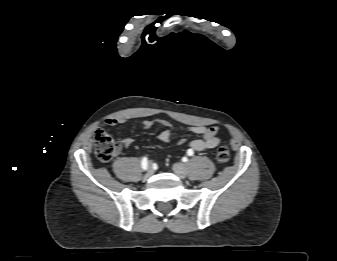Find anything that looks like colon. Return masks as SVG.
I'll use <instances>...</instances> for the list:
<instances>
[{
	"instance_id": "5ec220e1",
	"label": "colon",
	"mask_w": 337,
	"mask_h": 261,
	"mask_svg": "<svg viewBox=\"0 0 337 261\" xmlns=\"http://www.w3.org/2000/svg\"><path fill=\"white\" fill-rule=\"evenodd\" d=\"M95 154L99 161H110L117 152V146L110 134L103 130H97L94 137ZM230 158L227 147L221 146L216 152V160L219 163H226Z\"/></svg>"
}]
</instances>
